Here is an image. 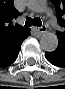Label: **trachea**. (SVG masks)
<instances>
[{
    "label": "trachea",
    "mask_w": 65,
    "mask_h": 89,
    "mask_svg": "<svg viewBox=\"0 0 65 89\" xmlns=\"http://www.w3.org/2000/svg\"><path fill=\"white\" fill-rule=\"evenodd\" d=\"M41 26L42 25V22L39 18L35 17V18H31V17H28L25 21V26Z\"/></svg>",
    "instance_id": "1"
}]
</instances>
